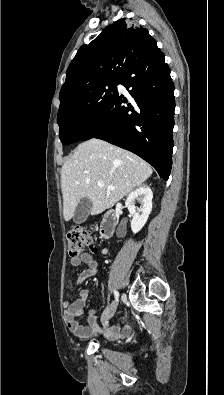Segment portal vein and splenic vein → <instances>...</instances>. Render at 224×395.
Returning a JSON list of instances; mask_svg holds the SVG:
<instances>
[{
	"label": "portal vein and splenic vein",
	"instance_id": "18ae733b",
	"mask_svg": "<svg viewBox=\"0 0 224 395\" xmlns=\"http://www.w3.org/2000/svg\"><path fill=\"white\" fill-rule=\"evenodd\" d=\"M97 185H98L99 187H104V183L101 182V181L97 182ZM107 189H108V190H115V187H113V186H108Z\"/></svg>",
	"mask_w": 224,
	"mask_h": 395
}]
</instances>
